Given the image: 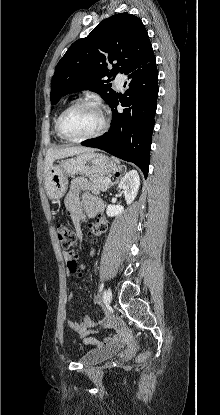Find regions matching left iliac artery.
I'll return each mask as SVG.
<instances>
[{
  "label": "left iliac artery",
  "instance_id": "left-iliac-artery-1",
  "mask_svg": "<svg viewBox=\"0 0 220 415\" xmlns=\"http://www.w3.org/2000/svg\"><path fill=\"white\" fill-rule=\"evenodd\" d=\"M103 288H104V283H101V285H100V287H99V293H101V292H102Z\"/></svg>",
  "mask_w": 220,
  "mask_h": 415
}]
</instances>
